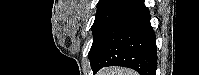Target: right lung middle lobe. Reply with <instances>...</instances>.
<instances>
[{
  "label": "right lung middle lobe",
  "instance_id": "1",
  "mask_svg": "<svg viewBox=\"0 0 199 75\" xmlns=\"http://www.w3.org/2000/svg\"><path fill=\"white\" fill-rule=\"evenodd\" d=\"M127 2L128 0H114L112 2L97 6L95 21L92 25L93 43L88 54L89 59L91 58L95 49L100 44L109 25L113 22V20L120 13V11L125 7Z\"/></svg>",
  "mask_w": 199,
  "mask_h": 75
}]
</instances>
